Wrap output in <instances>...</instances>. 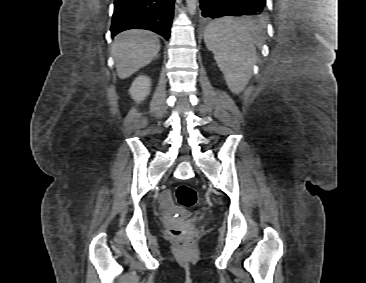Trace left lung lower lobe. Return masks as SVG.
Here are the masks:
<instances>
[{
  "mask_svg": "<svg viewBox=\"0 0 366 283\" xmlns=\"http://www.w3.org/2000/svg\"><path fill=\"white\" fill-rule=\"evenodd\" d=\"M265 6L266 0H200L202 16L205 18L256 16L265 12Z\"/></svg>",
  "mask_w": 366,
  "mask_h": 283,
  "instance_id": "1",
  "label": "left lung lower lobe"
}]
</instances>
